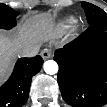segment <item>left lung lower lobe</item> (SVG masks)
<instances>
[{
    "label": "left lung lower lobe",
    "mask_w": 107,
    "mask_h": 107,
    "mask_svg": "<svg viewBox=\"0 0 107 107\" xmlns=\"http://www.w3.org/2000/svg\"><path fill=\"white\" fill-rule=\"evenodd\" d=\"M58 84L63 99L75 107L107 103V19H102L71 43L58 49Z\"/></svg>",
    "instance_id": "1"
}]
</instances>
